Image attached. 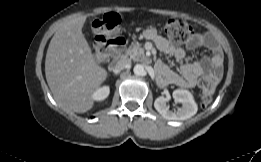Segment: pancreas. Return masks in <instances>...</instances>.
Returning a JSON list of instances; mask_svg holds the SVG:
<instances>
[{
    "instance_id": "pancreas-1",
    "label": "pancreas",
    "mask_w": 261,
    "mask_h": 162,
    "mask_svg": "<svg viewBox=\"0 0 261 162\" xmlns=\"http://www.w3.org/2000/svg\"><path fill=\"white\" fill-rule=\"evenodd\" d=\"M143 54H144V49L141 47V44L132 43L126 50L123 57L124 58L130 57L131 59H135L136 57L141 56Z\"/></svg>"
}]
</instances>
